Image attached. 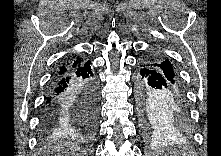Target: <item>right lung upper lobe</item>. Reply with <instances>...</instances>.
<instances>
[{
	"label": "right lung upper lobe",
	"instance_id": "obj_1",
	"mask_svg": "<svg viewBox=\"0 0 221 156\" xmlns=\"http://www.w3.org/2000/svg\"><path fill=\"white\" fill-rule=\"evenodd\" d=\"M84 62L83 60H81V58H78L76 60H71L69 62H66L62 67H60L59 69V72L58 73H61L63 71H66L68 69H74V68H77L79 67L80 65H82Z\"/></svg>",
	"mask_w": 221,
	"mask_h": 156
}]
</instances>
